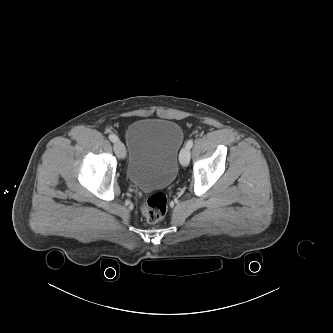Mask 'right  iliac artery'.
Returning <instances> with one entry per match:
<instances>
[{
	"label": "right iliac artery",
	"instance_id": "82829eb1",
	"mask_svg": "<svg viewBox=\"0 0 333 333\" xmlns=\"http://www.w3.org/2000/svg\"><path fill=\"white\" fill-rule=\"evenodd\" d=\"M109 139H110V141H112V142H116V141L118 140V137H117L116 135H114V134H110V135H109Z\"/></svg>",
	"mask_w": 333,
	"mask_h": 333
}]
</instances>
